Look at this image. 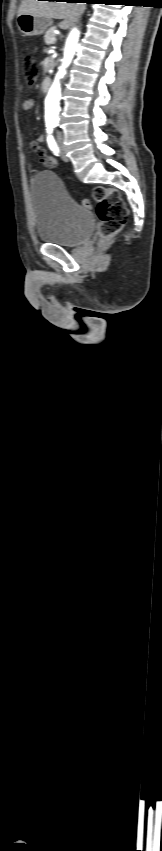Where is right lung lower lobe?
I'll return each instance as SVG.
<instances>
[{
	"label": "right lung lower lobe",
	"mask_w": 162,
	"mask_h": 851,
	"mask_svg": "<svg viewBox=\"0 0 162 851\" xmlns=\"http://www.w3.org/2000/svg\"><path fill=\"white\" fill-rule=\"evenodd\" d=\"M48 1H59V0H48ZM66 2H84L87 4L97 3L96 0H65Z\"/></svg>",
	"instance_id": "98d812e1"
}]
</instances>
